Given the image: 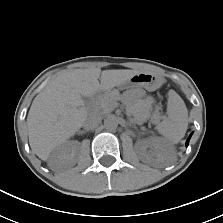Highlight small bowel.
<instances>
[{
    "label": "small bowel",
    "instance_id": "obj_1",
    "mask_svg": "<svg viewBox=\"0 0 223 223\" xmlns=\"http://www.w3.org/2000/svg\"><path fill=\"white\" fill-rule=\"evenodd\" d=\"M146 101H147V103H149V104H150V103L152 102V98H147V100H146Z\"/></svg>",
    "mask_w": 223,
    "mask_h": 223
}]
</instances>
